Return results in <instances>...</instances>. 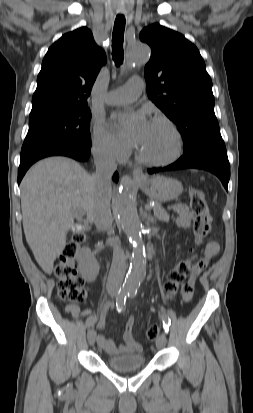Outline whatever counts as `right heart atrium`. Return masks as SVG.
Returning <instances> with one entry per match:
<instances>
[{
  "label": "right heart atrium",
  "instance_id": "1",
  "mask_svg": "<svg viewBox=\"0 0 253 413\" xmlns=\"http://www.w3.org/2000/svg\"><path fill=\"white\" fill-rule=\"evenodd\" d=\"M94 155L106 162L123 160L128 154V147L101 120H95L92 134Z\"/></svg>",
  "mask_w": 253,
  "mask_h": 413
}]
</instances>
